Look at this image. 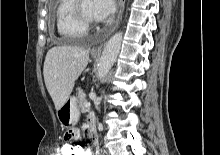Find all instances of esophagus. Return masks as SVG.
<instances>
[{"label":"esophagus","mask_w":220,"mask_h":155,"mask_svg":"<svg viewBox=\"0 0 220 155\" xmlns=\"http://www.w3.org/2000/svg\"><path fill=\"white\" fill-rule=\"evenodd\" d=\"M124 4H125V0H119L120 9H119V14H118V18H117V21H116L115 28L118 26V24L121 20L122 13H123V10H124ZM102 47H103V45L94 48L93 53H100L101 50H102Z\"/></svg>","instance_id":"obj_1"}]
</instances>
